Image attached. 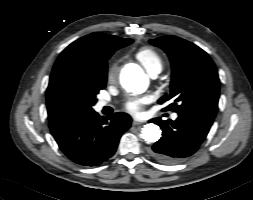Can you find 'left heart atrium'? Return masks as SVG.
Returning a JSON list of instances; mask_svg holds the SVG:
<instances>
[{"label": "left heart atrium", "mask_w": 253, "mask_h": 200, "mask_svg": "<svg viewBox=\"0 0 253 200\" xmlns=\"http://www.w3.org/2000/svg\"><path fill=\"white\" fill-rule=\"evenodd\" d=\"M148 101H149L148 97H138L130 99L125 103V110L134 116H139L142 112L143 106Z\"/></svg>", "instance_id": "obj_1"}]
</instances>
